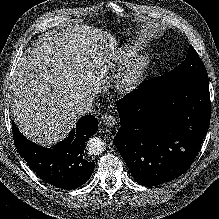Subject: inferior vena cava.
<instances>
[{"label": "inferior vena cava", "instance_id": "obj_1", "mask_svg": "<svg viewBox=\"0 0 219 219\" xmlns=\"http://www.w3.org/2000/svg\"><path fill=\"white\" fill-rule=\"evenodd\" d=\"M94 102L92 98H85L80 100L75 106L74 110L78 115H87L92 113Z\"/></svg>", "mask_w": 219, "mask_h": 219}]
</instances>
